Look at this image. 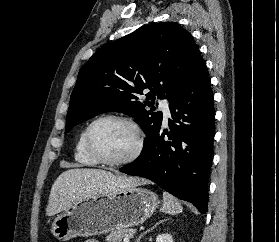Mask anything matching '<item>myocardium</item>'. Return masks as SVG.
<instances>
[{
    "label": "myocardium",
    "mask_w": 279,
    "mask_h": 242,
    "mask_svg": "<svg viewBox=\"0 0 279 242\" xmlns=\"http://www.w3.org/2000/svg\"><path fill=\"white\" fill-rule=\"evenodd\" d=\"M104 121H118L125 123L129 125L134 133H135V138H136V143L133 151L126 156L125 158L119 159V160H109L105 157H103L95 148L94 142H93V131L95 127ZM85 144H86V149L90 156L94 158L98 163L107 165V166H123V165H128L135 160L141 155L143 147H144V132L139 125V123L128 116L124 115H117V114H108V115H103L98 118H96L94 121L90 123V125L87 127L86 130V136H85Z\"/></svg>",
    "instance_id": "myocardium-1"
}]
</instances>
